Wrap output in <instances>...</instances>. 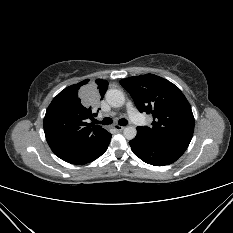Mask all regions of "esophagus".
<instances>
[{
  "label": "esophagus",
  "mask_w": 233,
  "mask_h": 233,
  "mask_svg": "<svg viewBox=\"0 0 233 233\" xmlns=\"http://www.w3.org/2000/svg\"><path fill=\"white\" fill-rule=\"evenodd\" d=\"M116 131H122L125 127L120 125H114L113 127Z\"/></svg>",
  "instance_id": "34e87169"
}]
</instances>
